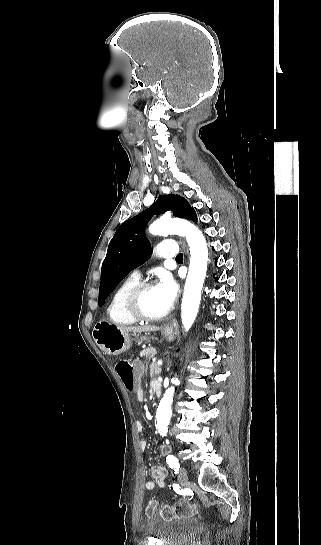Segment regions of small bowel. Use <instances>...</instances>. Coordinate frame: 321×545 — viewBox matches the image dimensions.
Returning a JSON list of instances; mask_svg holds the SVG:
<instances>
[{
    "mask_svg": "<svg viewBox=\"0 0 321 545\" xmlns=\"http://www.w3.org/2000/svg\"><path fill=\"white\" fill-rule=\"evenodd\" d=\"M156 383H159L158 381H154L152 382V388L154 387V385ZM136 399L138 402H143L144 400V392L142 389H138L136 391ZM136 429L138 432H142L144 427H143V424L141 422H136ZM139 446H140V449L142 451L146 450L147 448V441L146 440H141L140 443H139ZM169 451V447L168 446H163L162 447V452L163 453H167ZM150 474H151V480L147 481L144 485L145 489L146 490H153L155 487L157 488H163L165 486V470L163 467L161 466H153L151 468V471H150Z\"/></svg>",
    "mask_w": 321,
    "mask_h": 545,
    "instance_id": "1",
    "label": "small bowel"
}]
</instances>
